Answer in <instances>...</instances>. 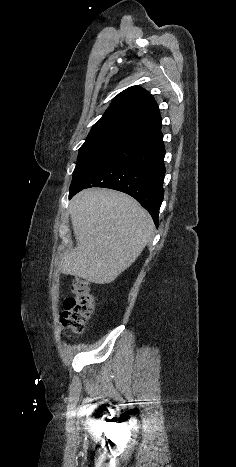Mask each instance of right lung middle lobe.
Masks as SVG:
<instances>
[{
    "label": "right lung middle lobe",
    "instance_id": "right-lung-middle-lobe-1",
    "mask_svg": "<svg viewBox=\"0 0 236 467\" xmlns=\"http://www.w3.org/2000/svg\"><path fill=\"white\" fill-rule=\"evenodd\" d=\"M139 133L121 127L92 128L79 149L71 185L77 183L94 165Z\"/></svg>",
    "mask_w": 236,
    "mask_h": 467
}]
</instances>
